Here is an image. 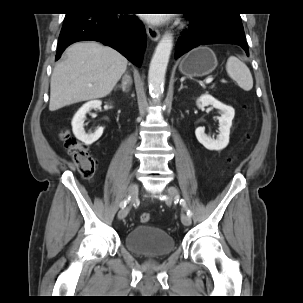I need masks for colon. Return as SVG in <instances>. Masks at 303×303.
<instances>
[{
  "mask_svg": "<svg viewBox=\"0 0 303 303\" xmlns=\"http://www.w3.org/2000/svg\"><path fill=\"white\" fill-rule=\"evenodd\" d=\"M64 140L66 149L73 161L77 164L80 173L86 178H93L97 171V159L88 152L85 145L78 142L69 134H65ZM150 219V213L146 212L140 215L141 223H147Z\"/></svg>",
  "mask_w": 303,
  "mask_h": 303,
  "instance_id": "obj_1",
  "label": "colon"
}]
</instances>
